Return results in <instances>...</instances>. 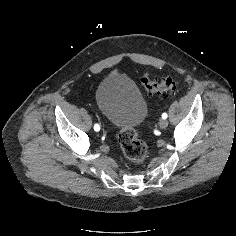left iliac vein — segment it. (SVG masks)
Here are the masks:
<instances>
[{
    "label": "left iliac vein",
    "instance_id": "1",
    "mask_svg": "<svg viewBox=\"0 0 236 236\" xmlns=\"http://www.w3.org/2000/svg\"><path fill=\"white\" fill-rule=\"evenodd\" d=\"M167 126H168V121H167L166 119H161V120L159 121V127H160L161 129H165Z\"/></svg>",
    "mask_w": 236,
    "mask_h": 236
}]
</instances>
